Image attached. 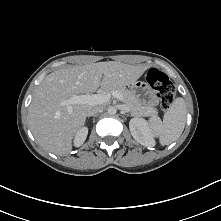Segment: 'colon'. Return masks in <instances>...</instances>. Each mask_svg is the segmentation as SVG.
<instances>
[{
	"mask_svg": "<svg viewBox=\"0 0 221 221\" xmlns=\"http://www.w3.org/2000/svg\"><path fill=\"white\" fill-rule=\"evenodd\" d=\"M146 79L149 85L156 91L160 107L163 110H168L176 97V90L173 83L165 73L156 68L148 71Z\"/></svg>",
	"mask_w": 221,
	"mask_h": 221,
	"instance_id": "colon-1",
	"label": "colon"
}]
</instances>
